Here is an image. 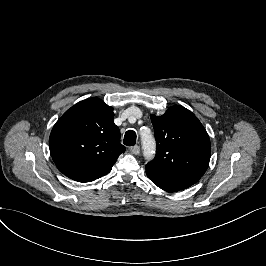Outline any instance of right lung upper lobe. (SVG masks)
Here are the masks:
<instances>
[{
  "instance_id": "right-lung-upper-lobe-1",
  "label": "right lung upper lobe",
  "mask_w": 266,
  "mask_h": 266,
  "mask_svg": "<svg viewBox=\"0 0 266 266\" xmlns=\"http://www.w3.org/2000/svg\"><path fill=\"white\" fill-rule=\"evenodd\" d=\"M113 118V108L98 98L75 104L59 118L51 131L49 148L64 175L84 183L111 171L125 151Z\"/></svg>"
}]
</instances>
